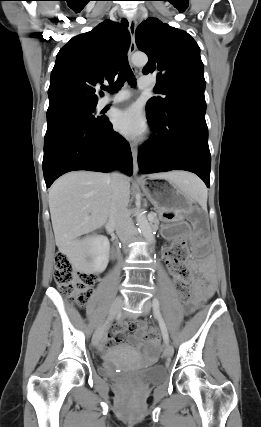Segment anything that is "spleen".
Returning a JSON list of instances; mask_svg holds the SVG:
<instances>
[{"instance_id": "1", "label": "spleen", "mask_w": 261, "mask_h": 427, "mask_svg": "<svg viewBox=\"0 0 261 427\" xmlns=\"http://www.w3.org/2000/svg\"><path fill=\"white\" fill-rule=\"evenodd\" d=\"M179 187L193 201L204 208L207 205V189L203 182L192 174L185 173Z\"/></svg>"}]
</instances>
